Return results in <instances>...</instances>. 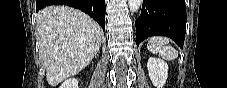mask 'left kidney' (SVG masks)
Segmentation results:
<instances>
[{"label": "left kidney", "instance_id": "5707ae66", "mask_svg": "<svg viewBox=\"0 0 227 88\" xmlns=\"http://www.w3.org/2000/svg\"><path fill=\"white\" fill-rule=\"evenodd\" d=\"M147 68L153 85L157 88H162L168 78L167 63L162 59L150 57L148 59Z\"/></svg>", "mask_w": 227, "mask_h": 88}]
</instances>
